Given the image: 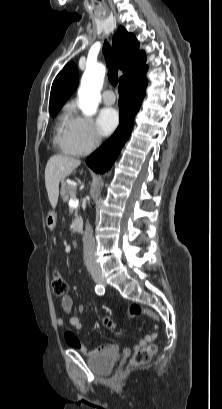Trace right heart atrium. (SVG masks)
I'll return each mask as SVG.
<instances>
[{
	"instance_id": "d8ad5b80",
	"label": "right heart atrium",
	"mask_w": 222,
	"mask_h": 409,
	"mask_svg": "<svg viewBox=\"0 0 222 409\" xmlns=\"http://www.w3.org/2000/svg\"><path fill=\"white\" fill-rule=\"evenodd\" d=\"M68 130L73 143L81 154L90 153L101 144V137L93 121L76 111L71 112Z\"/></svg>"
}]
</instances>
